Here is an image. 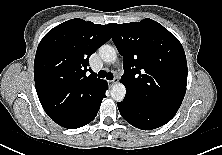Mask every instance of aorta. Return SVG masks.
I'll return each instance as SVG.
<instances>
[{"label":"aorta","mask_w":222,"mask_h":155,"mask_svg":"<svg viewBox=\"0 0 222 155\" xmlns=\"http://www.w3.org/2000/svg\"><path fill=\"white\" fill-rule=\"evenodd\" d=\"M101 59L106 63H114L117 59V51L110 45H102L99 49ZM126 89L124 84L116 82L111 88V97L115 101H122L125 97Z\"/></svg>","instance_id":"1"}]
</instances>
